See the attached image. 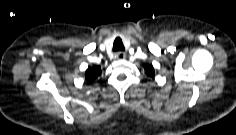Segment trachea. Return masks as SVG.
I'll list each match as a JSON object with an SVG mask.
<instances>
[{"instance_id":"1","label":"trachea","mask_w":236,"mask_h":135,"mask_svg":"<svg viewBox=\"0 0 236 135\" xmlns=\"http://www.w3.org/2000/svg\"><path fill=\"white\" fill-rule=\"evenodd\" d=\"M124 45H123V42L121 40L120 37H117L115 40H114V44H113V51L114 52H117V51H124Z\"/></svg>"}]
</instances>
